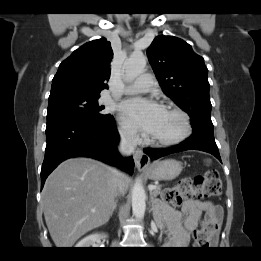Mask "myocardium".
Segmentation results:
<instances>
[{"mask_svg":"<svg viewBox=\"0 0 261 261\" xmlns=\"http://www.w3.org/2000/svg\"><path fill=\"white\" fill-rule=\"evenodd\" d=\"M165 110L179 117L181 121V130L177 135L171 138H166V139L152 138L151 143L159 146H174L183 142L186 138H188V136L191 134L192 131V125H191L190 117L181 108L176 106H167Z\"/></svg>","mask_w":261,"mask_h":261,"instance_id":"myocardium-1","label":"myocardium"}]
</instances>
